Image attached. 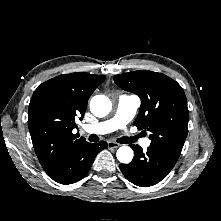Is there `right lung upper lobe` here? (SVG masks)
<instances>
[{
    "instance_id": "obj_1",
    "label": "right lung upper lobe",
    "mask_w": 221,
    "mask_h": 221,
    "mask_svg": "<svg viewBox=\"0 0 221 221\" xmlns=\"http://www.w3.org/2000/svg\"><path fill=\"white\" fill-rule=\"evenodd\" d=\"M105 78L77 72L57 76L37 87L29 104L28 127L44 169L87 143L72 130L77 127V118L82 120L89 97Z\"/></svg>"
}]
</instances>
